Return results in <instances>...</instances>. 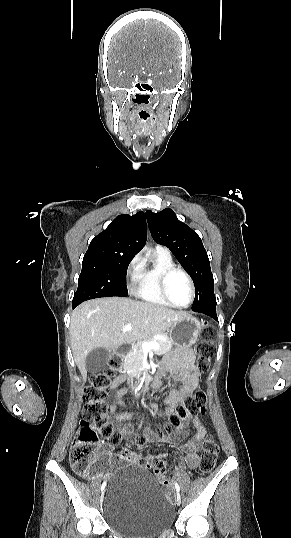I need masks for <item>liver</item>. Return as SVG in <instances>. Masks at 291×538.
<instances>
[{"mask_svg":"<svg viewBox=\"0 0 291 538\" xmlns=\"http://www.w3.org/2000/svg\"><path fill=\"white\" fill-rule=\"evenodd\" d=\"M186 316V312L124 297L83 302L74 309L70 320L72 353L83 380L87 378L86 357L92 350H116L125 343L149 339ZM127 323L132 330L121 331Z\"/></svg>","mask_w":291,"mask_h":538,"instance_id":"obj_1","label":"liver"}]
</instances>
